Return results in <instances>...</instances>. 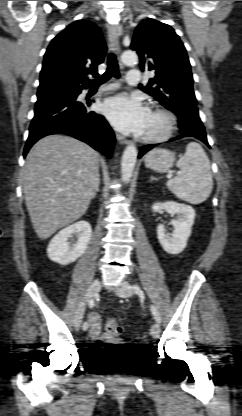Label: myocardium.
Wrapping results in <instances>:
<instances>
[{
    "label": "myocardium",
    "mask_w": 242,
    "mask_h": 416,
    "mask_svg": "<svg viewBox=\"0 0 242 416\" xmlns=\"http://www.w3.org/2000/svg\"><path fill=\"white\" fill-rule=\"evenodd\" d=\"M150 112L157 114L163 118L161 129L153 134L142 135L141 140L147 143H158L166 140L174 131L176 118L174 114L164 107H153Z\"/></svg>",
    "instance_id": "1"
}]
</instances>
